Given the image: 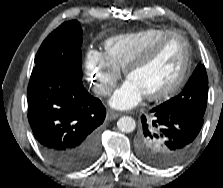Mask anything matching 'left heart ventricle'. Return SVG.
<instances>
[{"label":"left heart ventricle","instance_id":"left-heart-ventricle-1","mask_svg":"<svg viewBox=\"0 0 223 188\" xmlns=\"http://www.w3.org/2000/svg\"><path fill=\"white\" fill-rule=\"evenodd\" d=\"M185 46L178 36L168 38L142 65L134 69L131 80L144 95L162 90L179 75L183 65Z\"/></svg>","mask_w":223,"mask_h":188}]
</instances>
